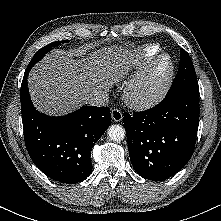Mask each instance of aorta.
Here are the masks:
<instances>
[{"instance_id":"aorta-1","label":"aorta","mask_w":221,"mask_h":221,"mask_svg":"<svg viewBox=\"0 0 221 221\" xmlns=\"http://www.w3.org/2000/svg\"><path fill=\"white\" fill-rule=\"evenodd\" d=\"M108 136L112 141L115 142H120L124 139L126 133H125V129L121 126V125H111L108 128Z\"/></svg>"}]
</instances>
